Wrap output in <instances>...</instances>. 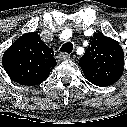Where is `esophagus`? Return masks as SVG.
<instances>
[{"label":"esophagus","mask_w":127,"mask_h":127,"mask_svg":"<svg viewBox=\"0 0 127 127\" xmlns=\"http://www.w3.org/2000/svg\"><path fill=\"white\" fill-rule=\"evenodd\" d=\"M70 57H71V56H70L69 54L64 53V52H61V53H59V54L57 55V58H58L59 61L68 60V59H70Z\"/></svg>","instance_id":"obj_1"}]
</instances>
